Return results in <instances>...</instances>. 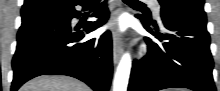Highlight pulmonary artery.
Here are the masks:
<instances>
[{"label": "pulmonary artery", "instance_id": "obj_1", "mask_svg": "<svg viewBox=\"0 0 220 91\" xmlns=\"http://www.w3.org/2000/svg\"><path fill=\"white\" fill-rule=\"evenodd\" d=\"M148 3L152 4V6H153V11H154L155 15H156L157 17H159L160 7H159V5H158V2L155 1V0H149Z\"/></svg>", "mask_w": 220, "mask_h": 91}]
</instances>
